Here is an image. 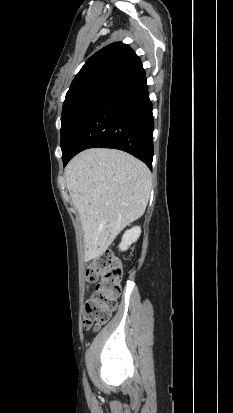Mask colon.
<instances>
[{"mask_svg": "<svg viewBox=\"0 0 233 413\" xmlns=\"http://www.w3.org/2000/svg\"><path fill=\"white\" fill-rule=\"evenodd\" d=\"M121 276V262L110 252H105L88 264L86 279L88 283H96V287L85 304L86 329H98L110 319L120 295Z\"/></svg>", "mask_w": 233, "mask_h": 413, "instance_id": "colon-1", "label": "colon"}]
</instances>
